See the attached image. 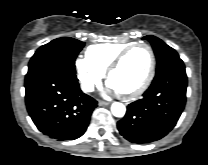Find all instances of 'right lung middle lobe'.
<instances>
[{"label": "right lung middle lobe", "mask_w": 208, "mask_h": 165, "mask_svg": "<svg viewBox=\"0 0 208 165\" xmlns=\"http://www.w3.org/2000/svg\"><path fill=\"white\" fill-rule=\"evenodd\" d=\"M83 46L84 42L69 37L41 46L32 56L26 76L48 66H60L75 74V59Z\"/></svg>", "instance_id": "right-lung-middle-lobe-1"}]
</instances>
